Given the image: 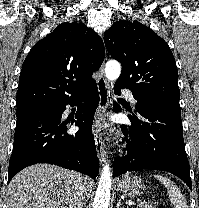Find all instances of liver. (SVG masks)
<instances>
[{
    "label": "liver",
    "mask_w": 199,
    "mask_h": 208,
    "mask_svg": "<svg viewBox=\"0 0 199 208\" xmlns=\"http://www.w3.org/2000/svg\"><path fill=\"white\" fill-rule=\"evenodd\" d=\"M75 171L39 163L20 171L8 187L7 208H68L74 183L79 177ZM82 177L85 197L89 198L93 182Z\"/></svg>",
    "instance_id": "6515ba94"
}]
</instances>
